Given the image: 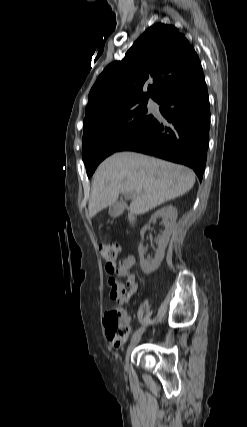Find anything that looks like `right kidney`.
I'll use <instances>...</instances> for the list:
<instances>
[{
	"instance_id": "ca27d5eb",
	"label": "right kidney",
	"mask_w": 247,
	"mask_h": 427,
	"mask_svg": "<svg viewBox=\"0 0 247 427\" xmlns=\"http://www.w3.org/2000/svg\"><path fill=\"white\" fill-rule=\"evenodd\" d=\"M157 218H162L164 220L165 230L163 231L162 235L158 238V249L155 255L154 259H146L144 257V247L142 243L138 246V252L140 257V266L142 271L145 274H151L155 270L158 269L160 266L164 255H165V249L167 247V244L170 239V235L173 232L176 224L177 219V209L172 206H164L163 208L157 210L152 216L149 221V224H146L140 232L141 237L144 236L145 232L150 229V223L155 222Z\"/></svg>"
}]
</instances>
